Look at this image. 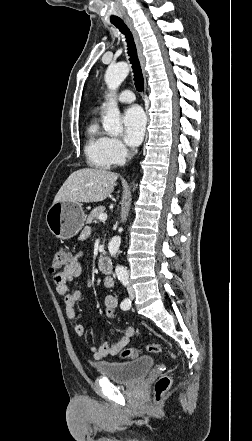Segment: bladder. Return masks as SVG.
<instances>
[{"label":"bladder","instance_id":"bladder-1","mask_svg":"<svg viewBox=\"0 0 252 441\" xmlns=\"http://www.w3.org/2000/svg\"><path fill=\"white\" fill-rule=\"evenodd\" d=\"M151 356H140L128 362L108 361L96 364V369L108 379L120 384H133L143 379L153 368Z\"/></svg>","mask_w":252,"mask_h":441}]
</instances>
